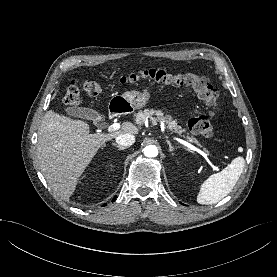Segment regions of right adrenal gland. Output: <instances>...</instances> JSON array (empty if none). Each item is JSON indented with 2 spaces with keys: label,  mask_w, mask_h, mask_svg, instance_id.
<instances>
[{
  "label": "right adrenal gland",
  "mask_w": 277,
  "mask_h": 277,
  "mask_svg": "<svg viewBox=\"0 0 277 277\" xmlns=\"http://www.w3.org/2000/svg\"><path fill=\"white\" fill-rule=\"evenodd\" d=\"M113 146L117 147L118 150H124V149L127 148V147H124V146L117 145V144H115V143L113 144Z\"/></svg>",
  "instance_id": "2a0ac1e0"
}]
</instances>
